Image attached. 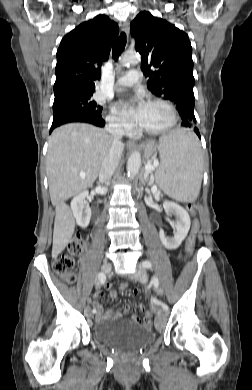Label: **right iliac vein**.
I'll return each mask as SVG.
<instances>
[{
    "label": "right iliac vein",
    "mask_w": 252,
    "mask_h": 390,
    "mask_svg": "<svg viewBox=\"0 0 252 390\" xmlns=\"http://www.w3.org/2000/svg\"><path fill=\"white\" fill-rule=\"evenodd\" d=\"M101 271L104 273V274H108L110 271H111V264L109 262H105L103 263L102 267H101ZM85 314L88 318H91L93 316V313H92V310L90 308V306H87L85 308Z\"/></svg>",
    "instance_id": "1"
}]
</instances>
